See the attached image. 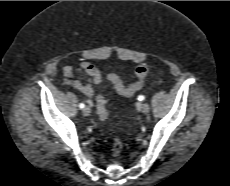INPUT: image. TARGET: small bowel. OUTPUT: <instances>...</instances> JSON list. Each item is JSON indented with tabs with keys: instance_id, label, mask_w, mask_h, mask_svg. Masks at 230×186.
<instances>
[{
	"instance_id": "c3829d8e",
	"label": "small bowel",
	"mask_w": 230,
	"mask_h": 186,
	"mask_svg": "<svg viewBox=\"0 0 230 186\" xmlns=\"http://www.w3.org/2000/svg\"><path fill=\"white\" fill-rule=\"evenodd\" d=\"M62 72L64 74L63 84L73 87L74 89L83 93L88 98L94 97L95 87L100 85L103 81L101 71L88 61L81 62L78 68H74L71 65H65L62 68ZM82 73L86 74L87 76L86 82H82L81 80L76 79V76ZM113 87L117 92H119V90H125L129 86H125L120 79V86L113 85ZM132 95L133 94H129L127 97H130ZM99 98L103 97L98 96L96 100H98Z\"/></svg>"
}]
</instances>
